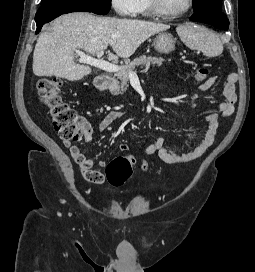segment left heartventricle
I'll return each instance as SVG.
<instances>
[{
    "mask_svg": "<svg viewBox=\"0 0 255 272\" xmlns=\"http://www.w3.org/2000/svg\"><path fill=\"white\" fill-rule=\"evenodd\" d=\"M161 3L165 11L175 13L185 9L188 0H161Z\"/></svg>",
    "mask_w": 255,
    "mask_h": 272,
    "instance_id": "obj_1",
    "label": "left heart ventricle"
}]
</instances>
